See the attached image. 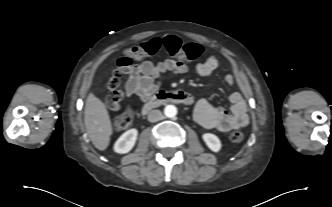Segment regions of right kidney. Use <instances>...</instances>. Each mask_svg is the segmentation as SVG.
<instances>
[{"instance_id": "1", "label": "right kidney", "mask_w": 332, "mask_h": 207, "mask_svg": "<svg viewBox=\"0 0 332 207\" xmlns=\"http://www.w3.org/2000/svg\"><path fill=\"white\" fill-rule=\"evenodd\" d=\"M138 130L130 129L123 133L114 144V151L119 154L128 153L135 145Z\"/></svg>"}]
</instances>
